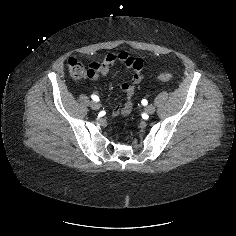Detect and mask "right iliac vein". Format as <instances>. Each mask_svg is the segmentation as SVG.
<instances>
[{
	"label": "right iliac vein",
	"mask_w": 236,
	"mask_h": 236,
	"mask_svg": "<svg viewBox=\"0 0 236 236\" xmlns=\"http://www.w3.org/2000/svg\"><path fill=\"white\" fill-rule=\"evenodd\" d=\"M91 108L94 110H99L100 109V104L97 101H92L90 104Z\"/></svg>",
	"instance_id": "1"
}]
</instances>
